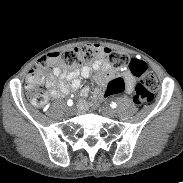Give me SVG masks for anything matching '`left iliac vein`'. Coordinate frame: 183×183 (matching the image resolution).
<instances>
[{"mask_svg": "<svg viewBox=\"0 0 183 183\" xmlns=\"http://www.w3.org/2000/svg\"><path fill=\"white\" fill-rule=\"evenodd\" d=\"M102 113L109 118H112L114 116H116V110L109 108V107H103L102 109Z\"/></svg>", "mask_w": 183, "mask_h": 183, "instance_id": "left-iliac-vein-1", "label": "left iliac vein"}]
</instances>
